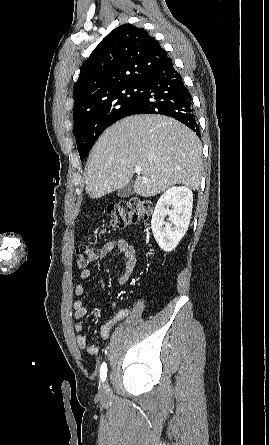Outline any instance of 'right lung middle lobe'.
<instances>
[{
  "label": "right lung middle lobe",
  "mask_w": 269,
  "mask_h": 445,
  "mask_svg": "<svg viewBox=\"0 0 269 445\" xmlns=\"http://www.w3.org/2000/svg\"><path fill=\"white\" fill-rule=\"evenodd\" d=\"M144 84H131L93 97L74 110V135L81 160L101 133L137 106Z\"/></svg>",
  "instance_id": "dd1d6c3e"
}]
</instances>
